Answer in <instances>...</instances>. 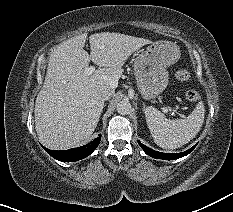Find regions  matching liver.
<instances>
[{"label":"liver","mask_w":233,"mask_h":212,"mask_svg":"<svg viewBox=\"0 0 233 212\" xmlns=\"http://www.w3.org/2000/svg\"><path fill=\"white\" fill-rule=\"evenodd\" d=\"M74 36L54 48L49 56L44 84L35 103V129L47 148L64 150L80 145L95 130L104 100L102 86L115 90L129 56L151 41L120 33ZM90 60L99 66L91 75L84 71Z\"/></svg>","instance_id":"obj_1"}]
</instances>
